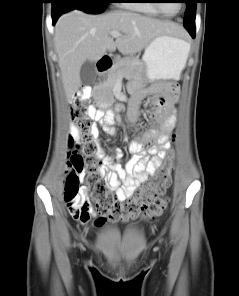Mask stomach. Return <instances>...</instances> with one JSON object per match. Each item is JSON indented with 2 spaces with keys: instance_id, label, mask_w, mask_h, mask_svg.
<instances>
[{
  "instance_id": "1",
  "label": "stomach",
  "mask_w": 239,
  "mask_h": 296,
  "mask_svg": "<svg viewBox=\"0 0 239 296\" xmlns=\"http://www.w3.org/2000/svg\"><path fill=\"white\" fill-rule=\"evenodd\" d=\"M189 50L190 44L176 35L157 36L145 48L143 73L152 82L177 80Z\"/></svg>"
}]
</instances>
